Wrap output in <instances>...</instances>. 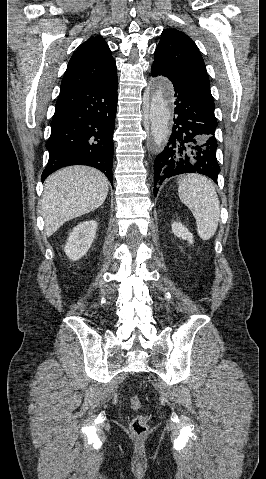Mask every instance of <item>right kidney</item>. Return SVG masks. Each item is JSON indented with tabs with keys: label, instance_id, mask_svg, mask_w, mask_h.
I'll return each mask as SVG.
<instances>
[{
	"label": "right kidney",
	"instance_id": "right-kidney-1",
	"mask_svg": "<svg viewBox=\"0 0 266 479\" xmlns=\"http://www.w3.org/2000/svg\"><path fill=\"white\" fill-rule=\"evenodd\" d=\"M96 229L97 223L94 220L81 222L74 227L64 247L70 260H79L88 252L95 238Z\"/></svg>",
	"mask_w": 266,
	"mask_h": 479
}]
</instances>
